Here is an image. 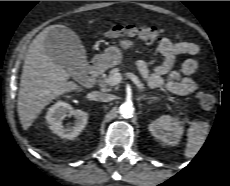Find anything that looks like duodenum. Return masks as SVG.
<instances>
[{
	"label": "duodenum",
	"instance_id": "obj_1",
	"mask_svg": "<svg viewBox=\"0 0 230 186\" xmlns=\"http://www.w3.org/2000/svg\"><path fill=\"white\" fill-rule=\"evenodd\" d=\"M102 71H103V66L98 62L91 63L88 66L89 76L94 83H97Z\"/></svg>",
	"mask_w": 230,
	"mask_h": 186
}]
</instances>
